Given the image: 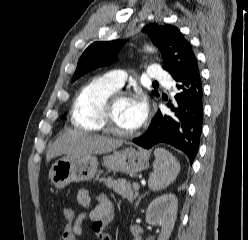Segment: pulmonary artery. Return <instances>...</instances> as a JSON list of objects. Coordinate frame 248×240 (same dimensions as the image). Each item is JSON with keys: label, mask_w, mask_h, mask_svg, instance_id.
<instances>
[{"label": "pulmonary artery", "mask_w": 248, "mask_h": 240, "mask_svg": "<svg viewBox=\"0 0 248 240\" xmlns=\"http://www.w3.org/2000/svg\"><path fill=\"white\" fill-rule=\"evenodd\" d=\"M103 78L115 88H120L125 82L126 75L120 70L108 71L103 75ZM148 78L158 83H165L170 81L169 75L161 70L157 65H151L148 68Z\"/></svg>", "instance_id": "pulmonary-artery-1"}]
</instances>
